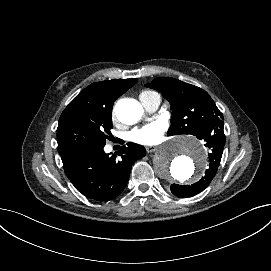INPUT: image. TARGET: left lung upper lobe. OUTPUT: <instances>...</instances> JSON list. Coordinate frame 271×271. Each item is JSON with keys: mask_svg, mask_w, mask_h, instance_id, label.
Wrapping results in <instances>:
<instances>
[{"mask_svg": "<svg viewBox=\"0 0 271 271\" xmlns=\"http://www.w3.org/2000/svg\"><path fill=\"white\" fill-rule=\"evenodd\" d=\"M147 86L161 92L171 103L168 135L191 134L206 140L217 129H223V115L203 89L171 77L155 78Z\"/></svg>", "mask_w": 271, "mask_h": 271, "instance_id": "left-lung-upper-lobe-1", "label": "left lung upper lobe"}]
</instances>
